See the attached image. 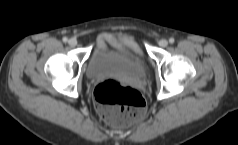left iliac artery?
I'll return each instance as SVG.
<instances>
[{"instance_id": "left-iliac-artery-1", "label": "left iliac artery", "mask_w": 238, "mask_h": 145, "mask_svg": "<svg viewBox=\"0 0 238 145\" xmlns=\"http://www.w3.org/2000/svg\"><path fill=\"white\" fill-rule=\"evenodd\" d=\"M169 42L172 44V43L175 42V39H174L173 37H171V38L169 39Z\"/></svg>"}]
</instances>
